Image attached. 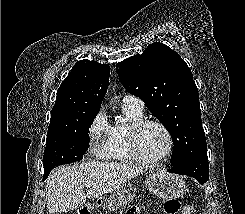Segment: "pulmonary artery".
I'll return each instance as SVG.
<instances>
[{"mask_svg": "<svg viewBox=\"0 0 245 214\" xmlns=\"http://www.w3.org/2000/svg\"><path fill=\"white\" fill-rule=\"evenodd\" d=\"M122 103L131 104V105L135 106L136 108H138L139 110H143V108H144L143 101L141 99L135 97V96H132V95H126L123 98Z\"/></svg>", "mask_w": 245, "mask_h": 214, "instance_id": "e3ab8cb5", "label": "pulmonary artery"}]
</instances>
